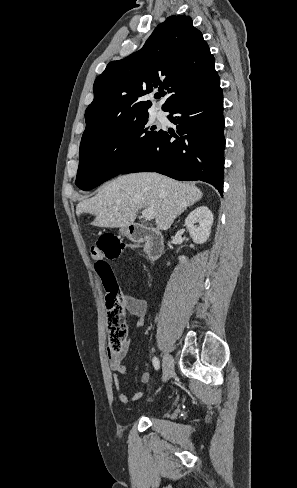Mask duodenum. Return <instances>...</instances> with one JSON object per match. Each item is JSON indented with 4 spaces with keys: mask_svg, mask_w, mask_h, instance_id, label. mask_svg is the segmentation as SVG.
Here are the masks:
<instances>
[{
    "mask_svg": "<svg viewBox=\"0 0 297 488\" xmlns=\"http://www.w3.org/2000/svg\"><path fill=\"white\" fill-rule=\"evenodd\" d=\"M127 235L131 241L144 244L150 262H155L162 256L164 239L160 232L141 224H132L127 228Z\"/></svg>",
    "mask_w": 297,
    "mask_h": 488,
    "instance_id": "1",
    "label": "duodenum"
}]
</instances>
